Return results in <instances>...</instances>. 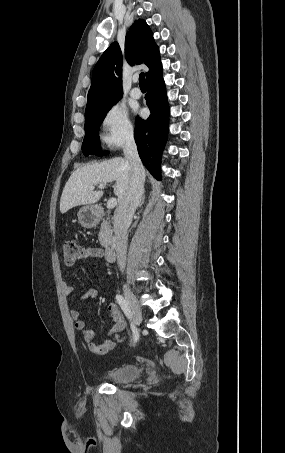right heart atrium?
Masks as SVG:
<instances>
[{
  "label": "right heart atrium",
  "instance_id": "obj_1",
  "mask_svg": "<svg viewBox=\"0 0 285 453\" xmlns=\"http://www.w3.org/2000/svg\"><path fill=\"white\" fill-rule=\"evenodd\" d=\"M134 128L124 106L116 104L103 116L101 121V140L104 145L115 150L132 140Z\"/></svg>",
  "mask_w": 285,
  "mask_h": 453
}]
</instances>
